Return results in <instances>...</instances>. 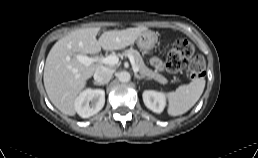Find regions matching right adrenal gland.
Here are the masks:
<instances>
[{"instance_id": "right-adrenal-gland-1", "label": "right adrenal gland", "mask_w": 258, "mask_h": 158, "mask_svg": "<svg viewBox=\"0 0 258 158\" xmlns=\"http://www.w3.org/2000/svg\"><path fill=\"white\" fill-rule=\"evenodd\" d=\"M95 85H98V86H103L104 84H100V83H97V82H94Z\"/></svg>"}]
</instances>
